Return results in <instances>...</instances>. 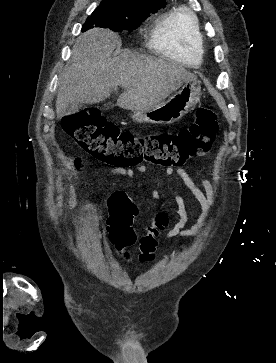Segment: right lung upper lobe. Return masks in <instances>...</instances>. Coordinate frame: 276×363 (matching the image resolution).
Returning a JSON list of instances; mask_svg holds the SVG:
<instances>
[{
  "label": "right lung upper lobe",
  "instance_id": "1",
  "mask_svg": "<svg viewBox=\"0 0 276 363\" xmlns=\"http://www.w3.org/2000/svg\"><path fill=\"white\" fill-rule=\"evenodd\" d=\"M103 3H111L118 5H135L143 4L149 6L163 7L165 6V0H103Z\"/></svg>",
  "mask_w": 276,
  "mask_h": 363
}]
</instances>
